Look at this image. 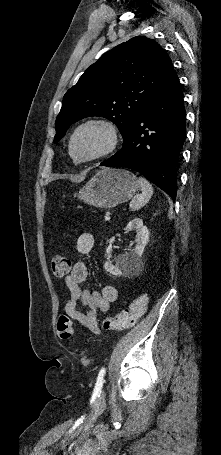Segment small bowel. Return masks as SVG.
Returning <instances> with one entry per match:
<instances>
[{
  "label": "small bowel",
  "instance_id": "small-bowel-1",
  "mask_svg": "<svg viewBox=\"0 0 221 455\" xmlns=\"http://www.w3.org/2000/svg\"><path fill=\"white\" fill-rule=\"evenodd\" d=\"M94 237L91 233L81 232L76 238V249L80 254H89L94 247ZM88 268L85 263L77 261L71 272L65 277L68 298L64 311L71 319L78 321L93 333H100L98 315L108 312L111 303L117 298V290L112 285H104L96 291L82 284L87 280ZM81 305L84 309H80Z\"/></svg>",
  "mask_w": 221,
  "mask_h": 455
}]
</instances>
